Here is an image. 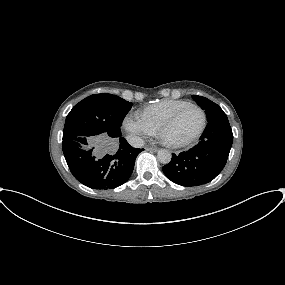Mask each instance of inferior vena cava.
Segmentation results:
<instances>
[{
  "label": "inferior vena cava",
  "mask_w": 285,
  "mask_h": 285,
  "mask_svg": "<svg viewBox=\"0 0 285 285\" xmlns=\"http://www.w3.org/2000/svg\"><path fill=\"white\" fill-rule=\"evenodd\" d=\"M127 141L134 148H141L144 146L143 139L135 135L127 136Z\"/></svg>",
  "instance_id": "1"
}]
</instances>
